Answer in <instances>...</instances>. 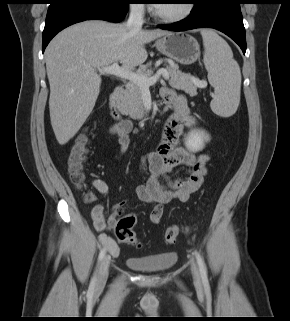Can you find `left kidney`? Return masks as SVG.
Returning a JSON list of instances; mask_svg holds the SVG:
<instances>
[{
  "instance_id": "5707ae66",
  "label": "left kidney",
  "mask_w": 290,
  "mask_h": 321,
  "mask_svg": "<svg viewBox=\"0 0 290 321\" xmlns=\"http://www.w3.org/2000/svg\"><path fill=\"white\" fill-rule=\"evenodd\" d=\"M209 135L201 130H193L189 132L188 136L185 138V145L188 150L192 152L200 151L204 148L205 142L209 141Z\"/></svg>"
}]
</instances>
